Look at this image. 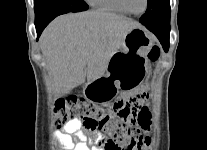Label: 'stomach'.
Segmentation results:
<instances>
[{
  "label": "stomach",
  "instance_id": "obj_1",
  "mask_svg": "<svg viewBox=\"0 0 207 150\" xmlns=\"http://www.w3.org/2000/svg\"><path fill=\"white\" fill-rule=\"evenodd\" d=\"M152 45L153 38L144 29L130 30L121 49L111 57L106 75L85 85V97L107 101L116 97L121 88L131 89L142 84L148 72L147 54Z\"/></svg>",
  "mask_w": 207,
  "mask_h": 150
}]
</instances>
